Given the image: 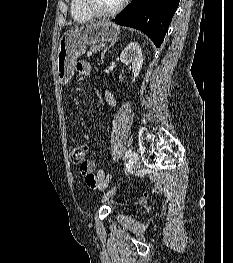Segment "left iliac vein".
Returning <instances> with one entry per match:
<instances>
[{
	"label": "left iliac vein",
	"instance_id": "left-iliac-vein-1",
	"mask_svg": "<svg viewBox=\"0 0 233 263\" xmlns=\"http://www.w3.org/2000/svg\"><path fill=\"white\" fill-rule=\"evenodd\" d=\"M130 162H131V170L132 171H135L138 166H139V156H138V153L134 152L132 155H131V158H130ZM115 191V188L108 191L106 194H104L103 196V200H107L111 197V195L113 194V192Z\"/></svg>",
	"mask_w": 233,
	"mask_h": 263
}]
</instances>
